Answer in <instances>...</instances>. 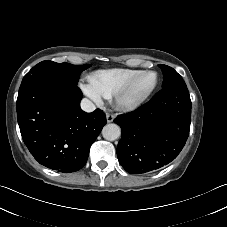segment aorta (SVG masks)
Segmentation results:
<instances>
[{
    "label": "aorta",
    "instance_id": "aorta-1",
    "mask_svg": "<svg viewBox=\"0 0 227 227\" xmlns=\"http://www.w3.org/2000/svg\"><path fill=\"white\" fill-rule=\"evenodd\" d=\"M121 134L120 127L117 124L111 123L103 127L102 136L108 141H114L119 138Z\"/></svg>",
    "mask_w": 227,
    "mask_h": 227
}]
</instances>
